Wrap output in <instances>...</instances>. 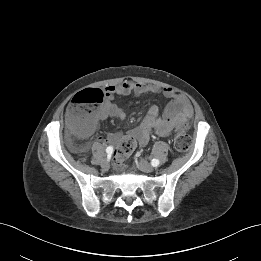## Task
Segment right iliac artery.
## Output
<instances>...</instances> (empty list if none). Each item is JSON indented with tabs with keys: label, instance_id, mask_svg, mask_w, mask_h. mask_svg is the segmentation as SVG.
Wrapping results in <instances>:
<instances>
[{
	"label": "right iliac artery",
	"instance_id": "obj_1",
	"mask_svg": "<svg viewBox=\"0 0 261 261\" xmlns=\"http://www.w3.org/2000/svg\"><path fill=\"white\" fill-rule=\"evenodd\" d=\"M112 152H113V147L112 146H109V147L106 148V153L108 154V156L111 155Z\"/></svg>",
	"mask_w": 261,
	"mask_h": 261
}]
</instances>
